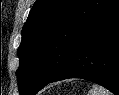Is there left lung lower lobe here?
<instances>
[{
  "mask_svg": "<svg viewBox=\"0 0 119 95\" xmlns=\"http://www.w3.org/2000/svg\"><path fill=\"white\" fill-rule=\"evenodd\" d=\"M68 78L90 80L119 95V0L83 35L68 64L49 83Z\"/></svg>",
  "mask_w": 119,
  "mask_h": 95,
  "instance_id": "obj_1",
  "label": "left lung lower lobe"
}]
</instances>
